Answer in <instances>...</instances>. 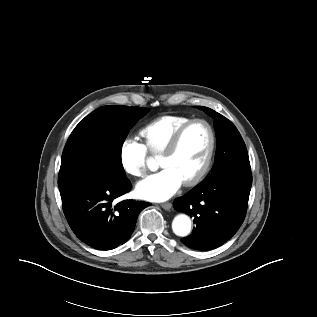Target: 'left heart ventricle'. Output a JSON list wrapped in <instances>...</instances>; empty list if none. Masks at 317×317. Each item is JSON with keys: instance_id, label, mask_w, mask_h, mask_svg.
Instances as JSON below:
<instances>
[{"instance_id": "left-heart-ventricle-1", "label": "left heart ventricle", "mask_w": 317, "mask_h": 317, "mask_svg": "<svg viewBox=\"0 0 317 317\" xmlns=\"http://www.w3.org/2000/svg\"><path fill=\"white\" fill-rule=\"evenodd\" d=\"M209 142L207 128L203 124H195L186 131L173 155L160 157L159 165L163 168H171L185 181L201 167L209 148Z\"/></svg>"}]
</instances>
